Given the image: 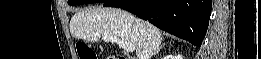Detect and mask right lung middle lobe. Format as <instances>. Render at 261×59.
Masks as SVG:
<instances>
[{
	"instance_id": "1",
	"label": "right lung middle lobe",
	"mask_w": 261,
	"mask_h": 59,
	"mask_svg": "<svg viewBox=\"0 0 261 59\" xmlns=\"http://www.w3.org/2000/svg\"><path fill=\"white\" fill-rule=\"evenodd\" d=\"M105 0H70L68 2L69 5H80V4H88L94 2H104Z\"/></svg>"
}]
</instances>
